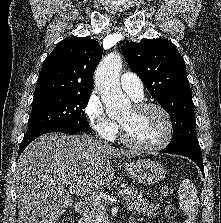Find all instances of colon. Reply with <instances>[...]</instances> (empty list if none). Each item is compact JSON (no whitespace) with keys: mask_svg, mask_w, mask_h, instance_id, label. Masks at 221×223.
Returning a JSON list of instances; mask_svg holds the SVG:
<instances>
[{"mask_svg":"<svg viewBox=\"0 0 221 223\" xmlns=\"http://www.w3.org/2000/svg\"><path fill=\"white\" fill-rule=\"evenodd\" d=\"M163 194L165 196H168L169 195V190L168 189H164ZM165 213H166V216L169 219L172 220V223H176L173 220H174L177 212H176V208L173 205H171V204L167 205L166 209H165ZM57 223H72V220L69 219V218H62V219L58 220Z\"/></svg>","mask_w":221,"mask_h":223,"instance_id":"colon-1","label":"colon"}]
</instances>
